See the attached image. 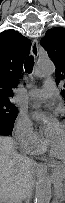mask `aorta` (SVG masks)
<instances>
[{"instance_id": "762f6f07", "label": "aorta", "mask_w": 65, "mask_h": 203, "mask_svg": "<svg viewBox=\"0 0 65 203\" xmlns=\"http://www.w3.org/2000/svg\"><path fill=\"white\" fill-rule=\"evenodd\" d=\"M55 73V65L50 59H42L37 63L35 76L38 78H44L51 76ZM52 198V180L47 174L40 176L34 195V203H50Z\"/></svg>"}]
</instances>
